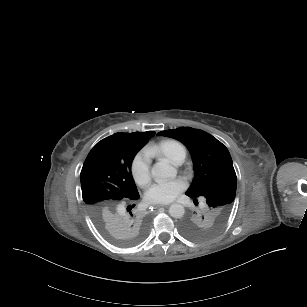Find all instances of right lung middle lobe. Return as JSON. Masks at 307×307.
Instances as JSON below:
<instances>
[{"instance_id":"right-lung-middle-lobe-1","label":"right lung middle lobe","mask_w":307,"mask_h":307,"mask_svg":"<svg viewBox=\"0 0 307 307\" xmlns=\"http://www.w3.org/2000/svg\"><path fill=\"white\" fill-rule=\"evenodd\" d=\"M80 179L86 205L110 197L118 190L115 180L93 163L83 165Z\"/></svg>"}]
</instances>
